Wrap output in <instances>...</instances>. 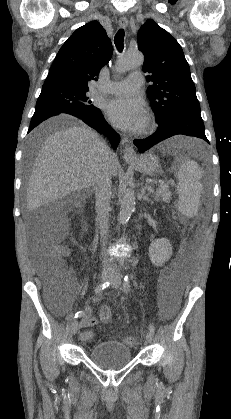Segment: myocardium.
<instances>
[{"mask_svg": "<svg viewBox=\"0 0 231 419\" xmlns=\"http://www.w3.org/2000/svg\"><path fill=\"white\" fill-rule=\"evenodd\" d=\"M154 126H155L154 120L151 116H149L145 121V124H144L143 129H142V133L146 134V133L152 131Z\"/></svg>", "mask_w": 231, "mask_h": 419, "instance_id": "obj_1", "label": "myocardium"}]
</instances>
